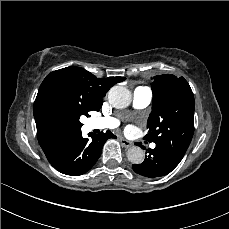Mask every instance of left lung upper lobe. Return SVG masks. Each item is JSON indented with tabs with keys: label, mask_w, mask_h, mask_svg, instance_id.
I'll return each mask as SVG.
<instances>
[{
	"label": "left lung upper lobe",
	"mask_w": 229,
	"mask_h": 229,
	"mask_svg": "<svg viewBox=\"0 0 229 229\" xmlns=\"http://www.w3.org/2000/svg\"><path fill=\"white\" fill-rule=\"evenodd\" d=\"M152 112L144 139L167 148L182 160L194 133V96L188 82L174 75H159L151 84Z\"/></svg>",
	"instance_id": "5c2ea615"
}]
</instances>
